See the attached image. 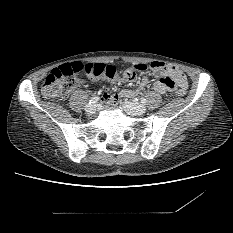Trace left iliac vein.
<instances>
[{
  "label": "left iliac vein",
  "mask_w": 233,
  "mask_h": 233,
  "mask_svg": "<svg viewBox=\"0 0 233 233\" xmlns=\"http://www.w3.org/2000/svg\"><path fill=\"white\" fill-rule=\"evenodd\" d=\"M125 111L130 115H142L146 112V107L142 104H136L129 101L123 102Z\"/></svg>",
  "instance_id": "left-iliac-vein-1"
}]
</instances>
